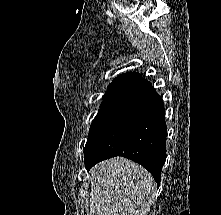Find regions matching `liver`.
<instances>
[{"label":"liver","mask_w":221,"mask_h":215,"mask_svg":"<svg viewBox=\"0 0 221 215\" xmlns=\"http://www.w3.org/2000/svg\"><path fill=\"white\" fill-rule=\"evenodd\" d=\"M90 215H148L156 184L141 165L115 157L90 170Z\"/></svg>","instance_id":"obj_1"}]
</instances>
